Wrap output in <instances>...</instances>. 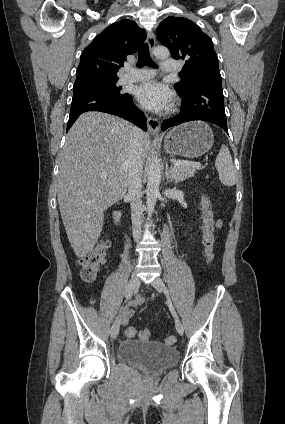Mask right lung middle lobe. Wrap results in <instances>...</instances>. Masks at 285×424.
<instances>
[{
  "instance_id": "1",
  "label": "right lung middle lobe",
  "mask_w": 285,
  "mask_h": 424,
  "mask_svg": "<svg viewBox=\"0 0 285 424\" xmlns=\"http://www.w3.org/2000/svg\"><path fill=\"white\" fill-rule=\"evenodd\" d=\"M118 80L110 81H89L74 84V93H98L105 94L113 97H124L127 93L120 92V88H117L116 82Z\"/></svg>"
}]
</instances>
